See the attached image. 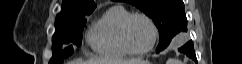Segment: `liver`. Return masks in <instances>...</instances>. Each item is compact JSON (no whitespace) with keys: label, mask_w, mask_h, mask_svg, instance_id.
Returning <instances> with one entry per match:
<instances>
[{"label":"liver","mask_w":242,"mask_h":64,"mask_svg":"<svg viewBox=\"0 0 242 64\" xmlns=\"http://www.w3.org/2000/svg\"><path fill=\"white\" fill-rule=\"evenodd\" d=\"M145 61L141 59H90L88 61H82L81 59L73 60L69 64H141Z\"/></svg>","instance_id":"liver-1"}]
</instances>
